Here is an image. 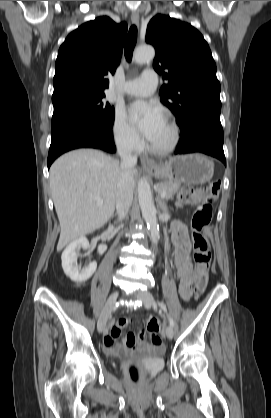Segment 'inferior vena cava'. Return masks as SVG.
Instances as JSON below:
<instances>
[{"mask_svg": "<svg viewBox=\"0 0 271 418\" xmlns=\"http://www.w3.org/2000/svg\"><path fill=\"white\" fill-rule=\"evenodd\" d=\"M118 154L121 157L122 171L117 185L116 210L119 220H122L127 215L133 200L130 172L137 163V157L127 148H119Z\"/></svg>", "mask_w": 271, "mask_h": 418, "instance_id": "inferior-vena-cava-1", "label": "inferior vena cava"}]
</instances>
